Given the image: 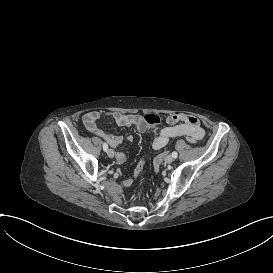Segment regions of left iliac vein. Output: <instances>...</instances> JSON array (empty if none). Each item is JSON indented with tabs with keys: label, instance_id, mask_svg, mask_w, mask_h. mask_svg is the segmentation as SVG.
Masks as SVG:
<instances>
[{
	"label": "left iliac vein",
	"instance_id": "left-iliac-vein-1",
	"mask_svg": "<svg viewBox=\"0 0 273 273\" xmlns=\"http://www.w3.org/2000/svg\"><path fill=\"white\" fill-rule=\"evenodd\" d=\"M164 161L166 164H170L173 162V157L171 155H166Z\"/></svg>",
	"mask_w": 273,
	"mask_h": 273
}]
</instances>
